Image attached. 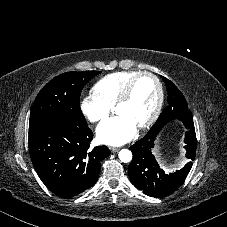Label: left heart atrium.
<instances>
[{
  "instance_id": "obj_1",
  "label": "left heart atrium",
  "mask_w": 227,
  "mask_h": 227,
  "mask_svg": "<svg viewBox=\"0 0 227 227\" xmlns=\"http://www.w3.org/2000/svg\"><path fill=\"white\" fill-rule=\"evenodd\" d=\"M136 128L128 117L117 115L101 122L96 129V137L103 144L121 145L135 136Z\"/></svg>"
}]
</instances>
